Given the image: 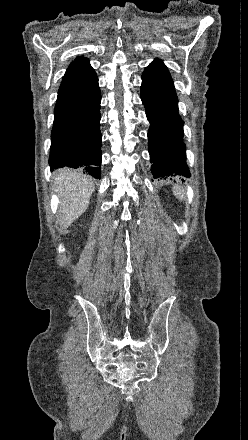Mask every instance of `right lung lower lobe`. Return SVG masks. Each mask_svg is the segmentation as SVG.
Wrapping results in <instances>:
<instances>
[{
  "label": "right lung lower lobe",
  "mask_w": 248,
  "mask_h": 440,
  "mask_svg": "<svg viewBox=\"0 0 248 440\" xmlns=\"http://www.w3.org/2000/svg\"><path fill=\"white\" fill-rule=\"evenodd\" d=\"M101 93L98 78L81 88L59 92L54 110L49 165L82 168L100 178Z\"/></svg>",
  "instance_id": "right-lung-lower-lobe-1"
}]
</instances>
